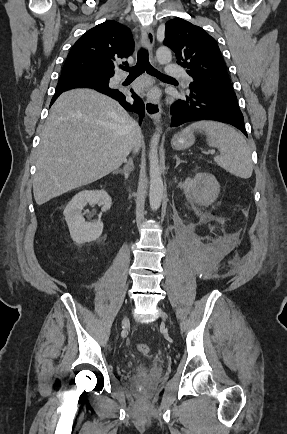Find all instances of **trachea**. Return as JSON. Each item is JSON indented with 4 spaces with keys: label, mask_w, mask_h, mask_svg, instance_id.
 I'll use <instances>...</instances> for the list:
<instances>
[{
    "label": "trachea",
    "mask_w": 287,
    "mask_h": 434,
    "mask_svg": "<svg viewBox=\"0 0 287 434\" xmlns=\"http://www.w3.org/2000/svg\"><path fill=\"white\" fill-rule=\"evenodd\" d=\"M123 70L129 72L128 78L135 79L143 72H147L150 75L156 76L158 78H171L167 75L160 73L156 70L149 62L148 51L146 48H141L138 51V61L133 67H122Z\"/></svg>",
    "instance_id": "1"
}]
</instances>
